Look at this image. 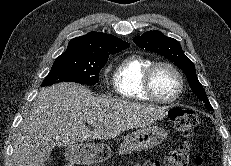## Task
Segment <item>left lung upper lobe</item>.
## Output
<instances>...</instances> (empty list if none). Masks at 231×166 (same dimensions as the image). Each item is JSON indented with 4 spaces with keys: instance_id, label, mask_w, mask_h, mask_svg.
<instances>
[{
    "instance_id": "left-lung-upper-lobe-1",
    "label": "left lung upper lobe",
    "mask_w": 231,
    "mask_h": 166,
    "mask_svg": "<svg viewBox=\"0 0 231 166\" xmlns=\"http://www.w3.org/2000/svg\"><path fill=\"white\" fill-rule=\"evenodd\" d=\"M140 48L163 55L184 71L193 93L205 103L208 110H213L206 92L199 82L193 62L184 54L179 42L165 36L160 31H148L133 39Z\"/></svg>"
}]
</instances>
